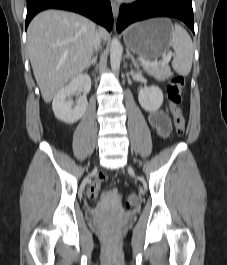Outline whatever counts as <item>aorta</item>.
<instances>
[{
  "mask_svg": "<svg viewBox=\"0 0 227 265\" xmlns=\"http://www.w3.org/2000/svg\"><path fill=\"white\" fill-rule=\"evenodd\" d=\"M121 55L122 47L118 39L115 37L112 39L110 46V64L113 71H116L120 67Z\"/></svg>",
  "mask_w": 227,
  "mask_h": 265,
  "instance_id": "762f6f07",
  "label": "aorta"
}]
</instances>
